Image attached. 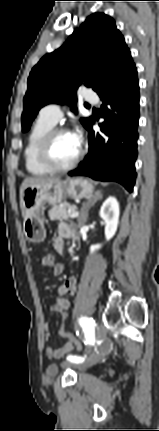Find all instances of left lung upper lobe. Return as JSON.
<instances>
[{
  "instance_id": "left-lung-upper-lobe-1",
  "label": "left lung upper lobe",
  "mask_w": 159,
  "mask_h": 431,
  "mask_svg": "<svg viewBox=\"0 0 159 431\" xmlns=\"http://www.w3.org/2000/svg\"><path fill=\"white\" fill-rule=\"evenodd\" d=\"M132 63L114 20L103 13L92 14L59 49L33 67L24 97L22 130H29L43 106L74 102L80 85L99 95ZM71 110L76 112V107L72 105ZM91 121L92 117L81 119L85 128Z\"/></svg>"
}]
</instances>
